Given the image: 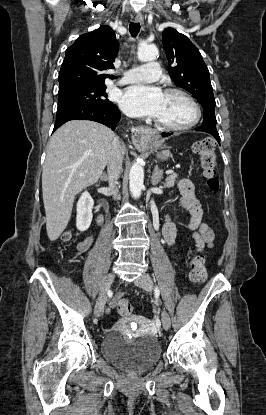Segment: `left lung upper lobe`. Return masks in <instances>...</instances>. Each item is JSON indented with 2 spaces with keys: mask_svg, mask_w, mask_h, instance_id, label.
Instances as JSON below:
<instances>
[{
  "mask_svg": "<svg viewBox=\"0 0 266 415\" xmlns=\"http://www.w3.org/2000/svg\"><path fill=\"white\" fill-rule=\"evenodd\" d=\"M163 45L169 61V75L177 86L190 92L202 105L204 119L196 131L219 137L214 113L215 98L209 71L198 48L183 34L173 28L163 31Z\"/></svg>",
  "mask_w": 266,
  "mask_h": 415,
  "instance_id": "left-lung-upper-lobe-1",
  "label": "left lung upper lobe"
}]
</instances>
